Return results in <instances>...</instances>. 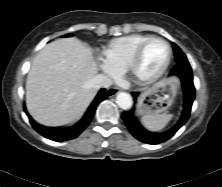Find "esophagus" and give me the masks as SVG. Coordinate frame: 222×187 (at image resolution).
<instances>
[{"mask_svg": "<svg viewBox=\"0 0 222 187\" xmlns=\"http://www.w3.org/2000/svg\"><path fill=\"white\" fill-rule=\"evenodd\" d=\"M120 92L118 87H111L107 90L106 94L108 97H113Z\"/></svg>", "mask_w": 222, "mask_h": 187, "instance_id": "1", "label": "esophagus"}]
</instances>
